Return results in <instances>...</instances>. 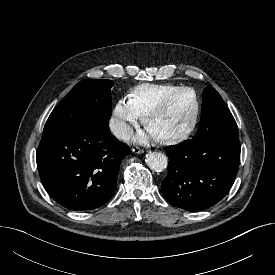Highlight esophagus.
<instances>
[{"mask_svg":"<svg viewBox=\"0 0 275 275\" xmlns=\"http://www.w3.org/2000/svg\"><path fill=\"white\" fill-rule=\"evenodd\" d=\"M132 152H134L136 154H141V153H144V149L139 148V147H133Z\"/></svg>","mask_w":275,"mask_h":275,"instance_id":"obj_1","label":"esophagus"}]
</instances>
